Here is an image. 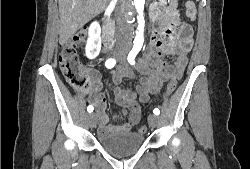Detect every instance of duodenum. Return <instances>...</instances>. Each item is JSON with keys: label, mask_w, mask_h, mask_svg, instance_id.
Segmentation results:
<instances>
[{"label": "duodenum", "mask_w": 250, "mask_h": 169, "mask_svg": "<svg viewBox=\"0 0 250 169\" xmlns=\"http://www.w3.org/2000/svg\"><path fill=\"white\" fill-rule=\"evenodd\" d=\"M102 37L106 46L112 48L115 45V34L113 21L110 18H105L102 29Z\"/></svg>", "instance_id": "obj_1"}]
</instances>
